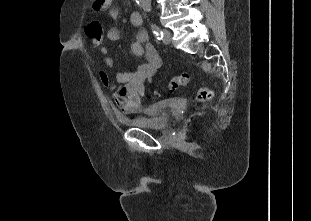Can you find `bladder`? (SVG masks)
Segmentation results:
<instances>
[{"label": "bladder", "mask_w": 311, "mask_h": 221, "mask_svg": "<svg viewBox=\"0 0 311 221\" xmlns=\"http://www.w3.org/2000/svg\"><path fill=\"white\" fill-rule=\"evenodd\" d=\"M169 101L163 99L143 108V114L127 120L126 124L131 128H143L149 131H165L171 123V115L167 111Z\"/></svg>", "instance_id": "31cf9c89"}]
</instances>
